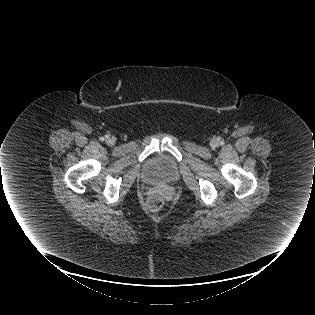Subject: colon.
Listing matches in <instances>:
<instances>
[{"instance_id":"obj_1","label":"colon","mask_w":315,"mask_h":315,"mask_svg":"<svg viewBox=\"0 0 315 315\" xmlns=\"http://www.w3.org/2000/svg\"><path fill=\"white\" fill-rule=\"evenodd\" d=\"M164 204V199L161 193L154 192L149 195L146 203V207L149 211H157Z\"/></svg>"}]
</instances>
